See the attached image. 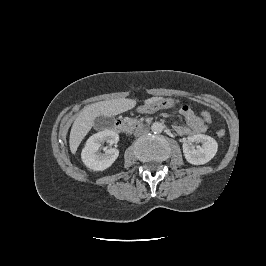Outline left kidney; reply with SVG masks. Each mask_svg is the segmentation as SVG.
Segmentation results:
<instances>
[{"instance_id": "5707ae66", "label": "left kidney", "mask_w": 266, "mask_h": 266, "mask_svg": "<svg viewBox=\"0 0 266 266\" xmlns=\"http://www.w3.org/2000/svg\"><path fill=\"white\" fill-rule=\"evenodd\" d=\"M192 143H201L195 148ZM218 144L210 136L197 134L189 136L183 143V153L186 160L193 165H202L209 162L217 153Z\"/></svg>"}]
</instances>
